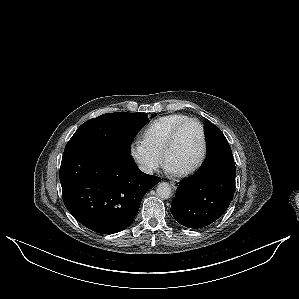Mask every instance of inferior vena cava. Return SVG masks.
<instances>
[{
  "instance_id": "obj_1",
  "label": "inferior vena cava",
  "mask_w": 299,
  "mask_h": 299,
  "mask_svg": "<svg viewBox=\"0 0 299 299\" xmlns=\"http://www.w3.org/2000/svg\"><path fill=\"white\" fill-rule=\"evenodd\" d=\"M139 169L144 172V173H147V174H152L153 173V170L152 168L146 166V165H140L139 166Z\"/></svg>"
}]
</instances>
